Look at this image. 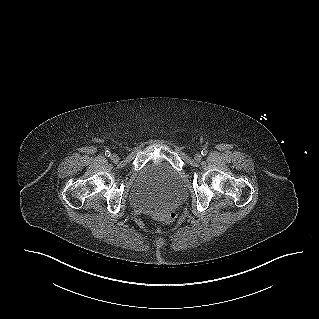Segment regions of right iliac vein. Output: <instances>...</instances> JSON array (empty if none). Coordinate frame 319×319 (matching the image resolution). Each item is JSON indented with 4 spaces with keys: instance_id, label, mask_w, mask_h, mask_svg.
Masks as SVG:
<instances>
[{
    "instance_id": "right-iliac-vein-1",
    "label": "right iliac vein",
    "mask_w": 319,
    "mask_h": 319,
    "mask_svg": "<svg viewBox=\"0 0 319 319\" xmlns=\"http://www.w3.org/2000/svg\"><path fill=\"white\" fill-rule=\"evenodd\" d=\"M111 160L116 163V162L119 161V156L117 154H112L111 155Z\"/></svg>"
}]
</instances>
